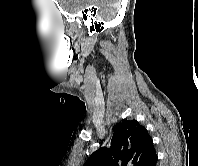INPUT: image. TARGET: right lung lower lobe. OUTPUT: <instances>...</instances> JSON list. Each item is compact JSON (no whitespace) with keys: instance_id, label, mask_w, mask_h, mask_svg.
<instances>
[{"instance_id":"1","label":"right lung lower lobe","mask_w":198,"mask_h":166,"mask_svg":"<svg viewBox=\"0 0 198 166\" xmlns=\"http://www.w3.org/2000/svg\"><path fill=\"white\" fill-rule=\"evenodd\" d=\"M157 155L155 154L151 160L146 164V166H156V162H157Z\"/></svg>"}]
</instances>
